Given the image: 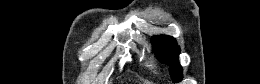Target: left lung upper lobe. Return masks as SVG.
<instances>
[{"instance_id": "obj_1", "label": "left lung upper lobe", "mask_w": 260, "mask_h": 84, "mask_svg": "<svg viewBox=\"0 0 260 84\" xmlns=\"http://www.w3.org/2000/svg\"><path fill=\"white\" fill-rule=\"evenodd\" d=\"M153 45L156 48V52L159 54V60L162 63H167L170 68V74L173 81L178 82L182 80V68L178 62V55L180 49L174 38L169 36L154 37Z\"/></svg>"}]
</instances>
